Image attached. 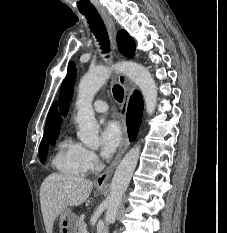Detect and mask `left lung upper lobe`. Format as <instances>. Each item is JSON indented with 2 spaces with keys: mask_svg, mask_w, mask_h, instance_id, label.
Instances as JSON below:
<instances>
[{
  "mask_svg": "<svg viewBox=\"0 0 227 233\" xmlns=\"http://www.w3.org/2000/svg\"><path fill=\"white\" fill-rule=\"evenodd\" d=\"M117 43L119 50L124 56L133 58L135 54L134 40L129 36L125 30H121L117 33ZM76 79V67L74 62H70L68 65L67 75L64 78L60 89V111L63 116H66L69 110V101L73 94V87ZM61 123V117H59V123L55 131V137L58 136L59 126ZM54 143V140L53 142Z\"/></svg>",
  "mask_w": 227,
  "mask_h": 233,
  "instance_id": "1",
  "label": "left lung upper lobe"
}]
</instances>
